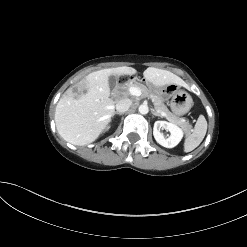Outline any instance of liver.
<instances>
[{
    "mask_svg": "<svg viewBox=\"0 0 247 247\" xmlns=\"http://www.w3.org/2000/svg\"><path fill=\"white\" fill-rule=\"evenodd\" d=\"M132 67L102 69L88 74L80 83L87 91L75 98L70 88L60 98L55 109V124L59 135L74 145L94 142L104 131L114 113L115 102L110 97V75H133ZM147 82L155 87L187 84L170 71L149 67L143 72Z\"/></svg>",
    "mask_w": 247,
    "mask_h": 247,
    "instance_id": "1",
    "label": "liver"
}]
</instances>
